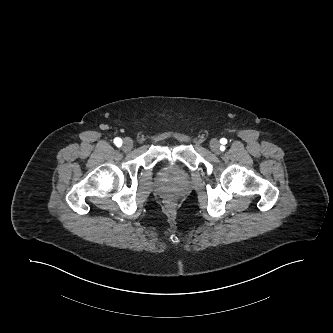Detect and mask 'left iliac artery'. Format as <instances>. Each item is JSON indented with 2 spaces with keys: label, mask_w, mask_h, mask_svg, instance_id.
Masks as SVG:
<instances>
[{
  "label": "left iliac artery",
  "mask_w": 333,
  "mask_h": 333,
  "mask_svg": "<svg viewBox=\"0 0 333 333\" xmlns=\"http://www.w3.org/2000/svg\"><path fill=\"white\" fill-rule=\"evenodd\" d=\"M220 143H221L222 145H225V144L227 143V139L222 138V139L220 140ZM224 148H225V147H223V146L220 147L221 150H223Z\"/></svg>",
  "instance_id": "obj_1"
}]
</instances>
